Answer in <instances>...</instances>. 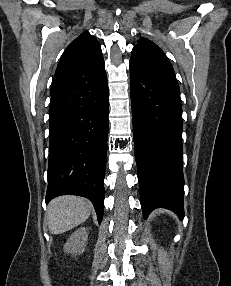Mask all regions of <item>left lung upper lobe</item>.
Masks as SVG:
<instances>
[{"label": "left lung upper lobe", "mask_w": 231, "mask_h": 286, "mask_svg": "<svg viewBox=\"0 0 231 286\" xmlns=\"http://www.w3.org/2000/svg\"><path fill=\"white\" fill-rule=\"evenodd\" d=\"M131 61L138 62L151 69L174 74L173 67L163 51L146 38L140 39L134 46Z\"/></svg>", "instance_id": "obj_1"}]
</instances>
